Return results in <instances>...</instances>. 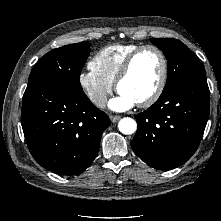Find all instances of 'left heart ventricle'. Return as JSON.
I'll return each mask as SVG.
<instances>
[{
    "label": "left heart ventricle",
    "instance_id": "obj_1",
    "mask_svg": "<svg viewBox=\"0 0 221 221\" xmlns=\"http://www.w3.org/2000/svg\"><path fill=\"white\" fill-rule=\"evenodd\" d=\"M160 75V57L153 50H145L135 59L130 74L120 85L119 92L139 103L153 93Z\"/></svg>",
    "mask_w": 221,
    "mask_h": 221
}]
</instances>
